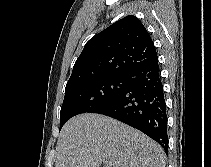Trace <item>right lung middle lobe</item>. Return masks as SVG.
Returning <instances> with one entry per match:
<instances>
[{"instance_id": "1", "label": "right lung middle lobe", "mask_w": 211, "mask_h": 167, "mask_svg": "<svg viewBox=\"0 0 211 167\" xmlns=\"http://www.w3.org/2000/svg\"><path fill=\"white\" fill-rule=\"evenodd\" d=\"M127 87L125 76H107L65 89L61 107L60 129L71 117L94 112L121 94Z\"/></svg>"}]
</instances>
